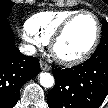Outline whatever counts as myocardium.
Returning a JSON list of instances; mask_svg holds the SVG:
<instances>
[{"instance_id": "obj_1", "label": "myocardium", "mask_w": 108, "mask_h": 108, "mask_svg": "<svg viewBox=\"0 0 108 108\" xmlns=\"http://www.w3.org/2000/svg\"><path fill=\"white\" fill-rule=\"evenodd\" d=\"M84 15L91 16L95 21L96 34H95L93 42L91 43L90 47L84 53H82L81 55H79L77 57L67 58V57L61 56L57 52L58 42L64 36V34L66 33V31L70 27V25L77 18L84 16ZM100 38H101V25H100V21H99L98 17L93 12H90V11H78V12L74 13L73 15H71L70 17H68L55 31V33L53 34V36L49 42L50 52H51L52 56L54 57V59L57 62H59L60 64H63L65 66H75V65H78V64L86 61L94 53V51L96 50V48L99 44Z\"/></svg>"}]
</instances>
